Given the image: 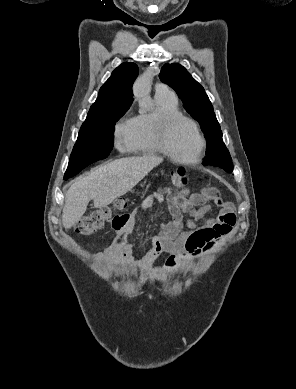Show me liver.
Returning a JSON list of instances; mask_svg holds the SVG:
<instances>
[{"instance_id": "6515ba94", "label": "liver", "mask_w": 296, "mask_h": 389, "mask_svg": "<svg viewBox=\"0 0 296 389\" xmlns=\"http://www.w3.org/2000/svg\"><path fill=\"white\" fill-rule=\"evenodd\" d=\"M163 158L155 155L114 160L76 179L65 194L62 222L70 229L79 222L90 200L96 208L111 204L137 185Z\"/></svg>"}]
</instances>
